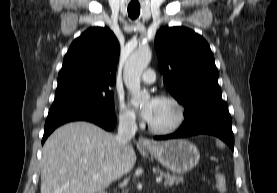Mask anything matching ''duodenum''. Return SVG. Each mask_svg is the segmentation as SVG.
Here are the masks:
<instances>
[{
    "label": "duodenum",
    "instance_id": "410a0bca",
    "mask_svg": "<svg viewBox=\"0 0 277 193\" xmlns=\"http://www.w3.org/2000/svg\"><path fill=\"white\" fill-rule=\"evenodd\" d=\"M100 193H107L106 191H101Z\"/></svg>",
    "mask_w": 277,
    "mask_h": 193
}]
</instances>
